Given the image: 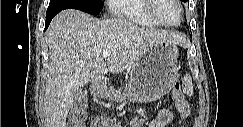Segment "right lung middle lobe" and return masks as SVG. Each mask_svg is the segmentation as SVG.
Listing matches in <instances>:
<instances>
[{
    "instance_id": "1",
    "label": "right lung middle lobe",
    "mask_w": 243,
    "mask_h": 127,
    "mask_svg": "<svg viewBox=\"0 0 243 127\" xmlns=\"http://www.w3.org/2000/svg\"><path fill=\"white\" fill-rule=\"evenodd\" d=\"M102 7V0H50L46 14H57L65 9H78L97 15L102 10Z\"/></svg>"
}]
</instances>
